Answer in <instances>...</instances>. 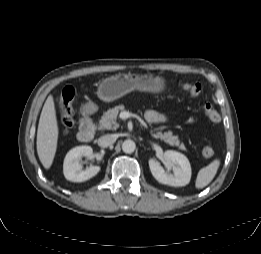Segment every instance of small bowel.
<instances>
[{
    "mask_svg": "<svg viewBox=\"0 0 261 254\" xmlns=\"http://www.w3.org/2000/svg\"><path fill=\"white\" fill-rule=\"evenodd\" d=\"M145 119L149 123H163L167 120V117L164 114L155 110H148L145 113Z\"/></svg>",
    "mask_w": 261,
    "mask_h": 254,
    "instance_id": "c3829d8e",
    "label": "small bowel"
}]
</instances>
